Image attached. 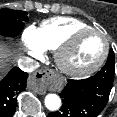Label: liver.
<instances>
[{"label": "liver", "mask_w": 117, "mask_h": 117, "mask_svg": "<svg viewBox=\"0 0 117 117\" xmlns=\"http://www.w3.org/2000/svg\"><path fill=\"white\" fill-rule=\"evenodd\" d=\"M13 52L5 44L0 43V72L6 69Z\"/></svg>", "instance_id": "liver-1"}]
</instances>
